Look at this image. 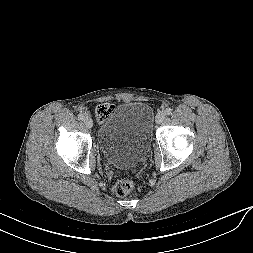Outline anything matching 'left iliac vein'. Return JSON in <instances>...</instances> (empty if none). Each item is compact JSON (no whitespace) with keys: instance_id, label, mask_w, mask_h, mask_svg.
I'll return each instance as SVG.
<instances>
[{"instance_id":"4c4485c4","label":"left iliac vein","mask_w":253,"mask_h":253,"mask_svg":"<svg viewBox=\"0 0 253 253\" xmlns=\"http://www.w3.org/2000/svg\"><path fill=\"white\" fill-rule=\"evenodd\" d=\"M165 116H166L165 112L163 111L158 112L155 118L156 123L161 124L164 121Z\"/></svg>"}]
</instances>
